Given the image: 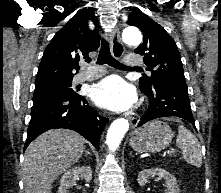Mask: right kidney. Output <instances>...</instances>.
Listing matches in <instances>:
<instances>
[{
  "label": "right kidney",
  "instance_id": "right-kidney-1",
  "mask_svg": "<svg viewBox=\"0 0 221 193\" xmlns=\"http://www.w3.org/2000/svg\"><path fill=\"white\" fill-rule=\"evenodd\" d=\"M79 176L89 182L92 179L91 167L78 166L65 172L64 175L61 177L58 193H68V189L75 184V181L78 179Z\"/></svg>",
  "mask_w": 221,
  "mask_h": 193
}]
</instances>
